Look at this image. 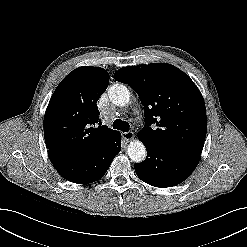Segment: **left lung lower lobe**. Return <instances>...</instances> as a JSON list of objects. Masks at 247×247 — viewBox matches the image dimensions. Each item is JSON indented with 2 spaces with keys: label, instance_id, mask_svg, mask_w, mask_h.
Wrapping results in <instances>:
<instances>
[{
  "label": "left lung lower lobe",
  "instance_id": "obj_1",
  "mask_svg": "<svg viewBox=\"0 0 247 247\" xmlns=\"http://www.w3.org/2000/svg\"><path fill=\"white\" fill-rule=\"evenodd\" d=\"M138 137L147 149V157L134 168L137 176L152 186L166 188L183 182L200 161L198 155L169 150Z\"/></svg>",
  "mask_w": 247,
  "mask_h": 247
}]
</instances>
